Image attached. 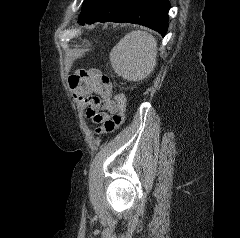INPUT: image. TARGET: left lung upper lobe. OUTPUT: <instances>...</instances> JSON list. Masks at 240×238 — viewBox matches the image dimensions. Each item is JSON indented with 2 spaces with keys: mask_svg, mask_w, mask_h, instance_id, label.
Segmentation results:
<instances>
[{
  "mask_svg": "<svg viewBox=\"0 0 240 238\" xmlns=\"http://www.w3.org/2000/svg\"><path fill=\"white\" fill-rule=\"evenodd\" d=\"M90 2H91V0H84L81 15L83 14V12L85 11V9L87 8V6L89 5Z\"/></svg>",
  "mask_w": 240,
  "mask_h": 238,
  "instance_id": "1",
  "label": "left lung upper lobe"
}]
</instances>
